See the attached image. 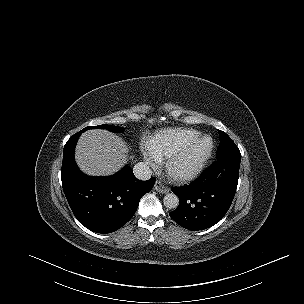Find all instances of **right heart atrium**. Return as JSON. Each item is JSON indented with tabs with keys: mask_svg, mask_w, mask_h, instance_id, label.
Segmentation results:
<instances>
[{
	"mask_svg": "<svg viewBox=\"0 0 304 304\" xmlns=\"http://www.w3.org/2000/svg\"><path fill=\"white\" fill-rule=\"evenodd\" d=\"M144 158L152 165H156L160 161V157L154 154L151 149L150 151H145Z\"/></svg>",
	"mask_w": 304,
	"mask_h": 304,
	"instance_id": "d8ad5b80",
	"label": "right heart atrium"
}]
</instances>
